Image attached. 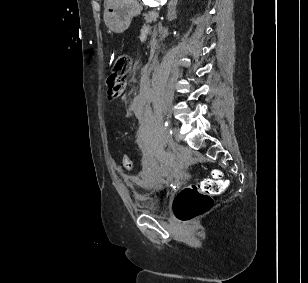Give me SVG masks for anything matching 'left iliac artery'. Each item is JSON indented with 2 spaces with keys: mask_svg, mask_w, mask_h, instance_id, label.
<instances>
[{
  "mask_svg": "<svg viewBox=\"0 0 308 283\" xmlns=\"http://www.w3.org/2000/svg\"><path fill=\"white\" fill-rule=\"evenodd\" d=\"M165 131H166V134H169V136L172 137V131H171V128H170V122L167 120L165 121Z\"/></svg>",
  "mask_w": 308,
  "mask_h": 283,
  "instance_id": "1",
  "label": "left iliac artery"
}]
</instances>
